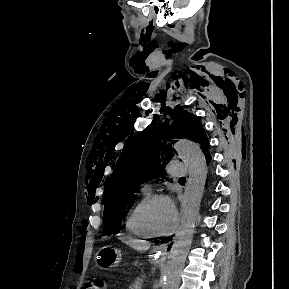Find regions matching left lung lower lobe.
Masks as SVG:
<instances>
[{"label": "left lung lower lobe", "mask_w": 289, "mask_h": 289, "mask_svg": "<svg viewBox=\"0 0 289 289\" xmlns=\"http://www.w3.org/2000/svg\"><path fill=\"white\" fill-rule=\"evenodd\" d=\"M206 160H207V164L211 161V157H210L209 153L206 155Z\"/></svg>", "instance_id": "1"}]
</instances>
